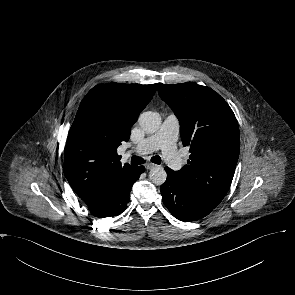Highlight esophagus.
I'll return each mask as SVG.
<instances>
[{
    "label": "esophagus",
    "instance_id": "1",
    "mask_svg": "<svg viewBox=\"0 0 295 295\" xmlns=\"http://www.w3.org/2000/svg\"><path fill=\"white\" fill-rule=\"evenodd\" d=\"M157 165L156 164H153V163H146L145 164V168L146 169H152V168H155Z\"/></svg>",
    "mask_w": 295,
    "mask_h": 295
}]
</instances>
